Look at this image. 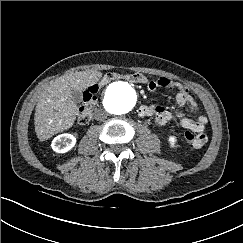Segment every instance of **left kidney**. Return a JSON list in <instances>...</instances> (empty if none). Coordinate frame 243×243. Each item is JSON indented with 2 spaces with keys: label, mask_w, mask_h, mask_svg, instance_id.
Instances as JSON below:
<instances>
[{
  "label": "left kidney",
  "mask_w": 243,
  "mask_h": 243,
  "mask_svg": "<svg viewBox=\"0 0 243 243\" xmlns=\"http://www.w3.org/2000/svg\"><path fill=\"white\" fill-rule=\"evenodd\" d=\"M168 141H169L171 147H174L175 146L176 138L174 136H170L168 138Z\"/></svg>",
  "instance_id": "left-kidney-1"
}]
</instances>
